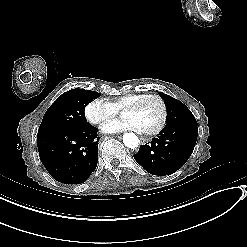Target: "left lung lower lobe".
Listing matches in <instances>:
<instances>
[{
    "instance_id": "0a47b994",
    "label": "left lung lower lobe",
    "mask_w": 247,
    "mask_h": 247,
    "mask_svg": "<svg viewBox=\"0 0 247 247\" xmlns=\"http://www.w3.org/2000/svg\"><path fill=\"white\" fill-rule=\"evenodd\" d=\"M198 128L180 125L164 128L156 138L142 145L134 159L153 175H169L179 170L191 156Z\"/></svg>"
}]
</instances>
